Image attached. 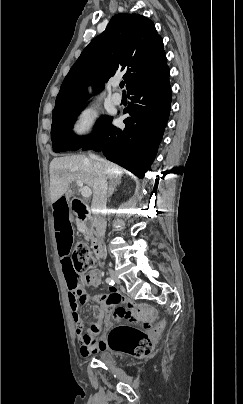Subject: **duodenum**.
Wrapping results in <instances>:
<instances>
[{
  "label": "duodenum",
  "mask_w": 243,
  "mask_h": 404,
  "mask_svg": "<svg viewBox=\"0 0 243 404\" xmlns=\"http://www.w3.org/2000/svg\"><path fill=\"white\" fill-rule=\"evenodd\" d=\"M72 210L76 216H78L80 219H84L88 213V208L87 206L80 201L79 199H73L72 201ZM92 247L95 256L98 259H101L103 257V248L99 240L94 239L92 242Z\"/></svg>",
  "instance_id": "410a0bca"
}]
</instances>
